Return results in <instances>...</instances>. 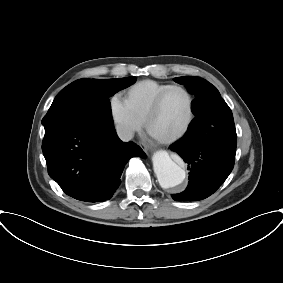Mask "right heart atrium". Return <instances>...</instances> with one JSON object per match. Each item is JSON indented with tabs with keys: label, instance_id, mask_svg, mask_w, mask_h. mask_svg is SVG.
<instances>
[{
	"label": "right heart atrium",
	"instance_id": "d8ad5b80",
	"mask_svg": "<svg viewBox=\"0 0 283 283\" xmlns=\"http://www.w3.org/2000/svg\"><path fill=\"white\" fill-rule=\"evenodd\" d=\"M109 110L112 122L119 137L130 140L135 133L139 132L142 123L133 115L123 98L114 95L109 101Z\"/></svg>",
	"mask_w": 283,
	"mask_h": 283
}]
</instances>
